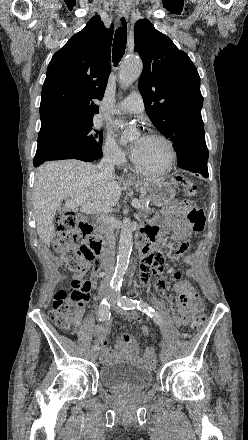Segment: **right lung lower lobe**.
Instances as JSON below:
<instances>
[{
	"label": "right lung lower lobe",
	"instance_id": "right-lung-lower-lobe-1",
	"mask_svg": "<svg viewBox=\"0 0 248 440\" xmlns=\"http://www.w3.org/2000/svg\"><path fill=\"white\" fill-rule=\"evenodd\" d=\"M66 159H78V160H83L86 162H91V161L97 160L99 158L92 157V156H76V157H70V158H66ZM46 161H49V160H46V159L39 160L38 162L34 163V166L38 167L39 165H41L42 163H44Z\"/></svg>",
	"mask_w": 248,
	"mask_h": 440
}]
</instances>
